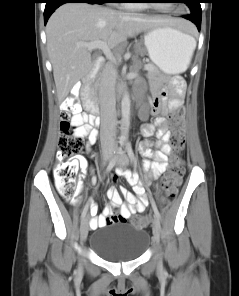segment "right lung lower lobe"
<instances>
[{
	"instance_id": "98d812e1",
	"label": "right lung lower lobe",
	"mask_w": 239,
	"mask_h": 296,
	"mask_svg": "<svg viewBox=\"0 0 239 296\" xmlns=\"http://www.w3.org/2000/svg\"><path fill=\"white\" fill-rule=\"evenodd\" d=\"M46 7L44 11V22L46 24L48 18L50 15L62 4L64 3H90L95 4L98 3V1L95 0H45Z\"/></svg>"
}]
</instances>
